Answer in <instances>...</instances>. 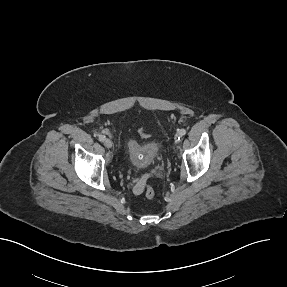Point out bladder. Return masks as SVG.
Instances as JSON below:
<instances>
[{"mask_svg": "<svg viewBox=\"0 0 287 287\" xmlns=\"http://www.w3.org/2000/svg\"><path fill=\"white\" fill-rule=\"evenodd\" d=\"M159 153V146L155 142L139 144L135 140L127 143V160L129 164L137 169H147L152 166Z\"/></svg>", "mask_w": 287, "mask_h": 287, "instance_id": "1", "label": "bladder"}]
</instances>
